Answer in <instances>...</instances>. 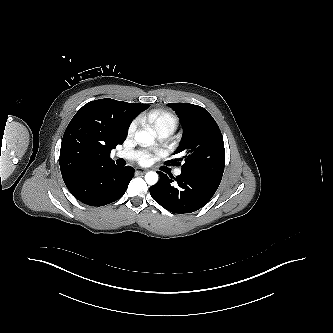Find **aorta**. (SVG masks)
<instances>
[{
  "instance_id": "1",
  "label": "aorta",
  "mask_w": 333,
  "mask_h": 333,
  "mask_svg": "<svg viewBox=\"0 0 333 333\" xmlns=\"http://www.w3.org/2000/svg\"><path fill=\"white\" fill-rule=\"evenodd\" d=\"M156 133L153 130H140L135 133V140L139 144L149 145L153 142ZM145 181L148 185H154L158 181V174L154 171H149L145 175Z\"/></svg>"
}]
</instances>
